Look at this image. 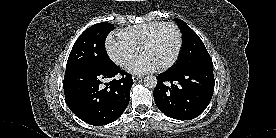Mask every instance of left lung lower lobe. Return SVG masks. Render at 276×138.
<instances>
[{
  "label": "left lung lower lobe",
  "instance_id": "1",
  "mask_svg": "<svg viewBox=\"0 0 276 138\" xmlns=\"http://www.w3.org/2000/svg\"><path fill=\"white\" fill-rule=\"evenodd\" d=\"M154 101L165 115L191 120L208 106L214 91L213 64L204 63L184 70L170 69L157 77Z\"/></svg>",
  "mask_w": 276,
  "mask_h": 138
}]
</instances>
